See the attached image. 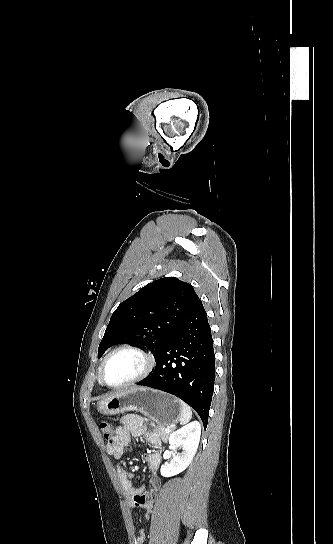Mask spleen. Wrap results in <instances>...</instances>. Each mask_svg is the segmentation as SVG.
I'll return each instance as SVG.
<instances>
[{
	"label": "spleen",
	"mask_w": 333,
	"mask_h": 544,
	"mask_svg": "<svg viewBox=\"0 0 333 544\" xmlns=\"http://www.w3.org/2000/svg\"><path fill=\"white\" fill-rule=\"evenodd\" d=\"M178 402L181 407L180 424L184 425V424H187L191 420L192 411H191V408L182 400L178 399Z\"/></svg>",
	"instance_id": "spleen-1"
}]
</instances>
